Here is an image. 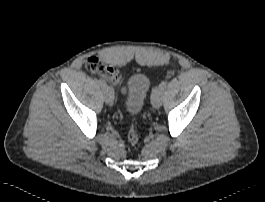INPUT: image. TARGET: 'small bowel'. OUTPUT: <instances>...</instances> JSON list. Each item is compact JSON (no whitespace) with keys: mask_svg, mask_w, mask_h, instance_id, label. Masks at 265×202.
<instances>
[{"mask_svg":"<svg viewBox=\"0 0 265 202\" xmlns=\"http://www.w3.org/2000/svg\"><path fill=\"white\" fill-rule=\"evenodd\" d=\"M84 66L86 69L91 70L106 79H108L111 83L117 85L120 82L121 74L118 68L110 65V64H99V57L97 55H90L85 59ZM107 70H111L112 72L109 73ZM125 88L122 87V90Z\"/></svg>","mask_w":265,"mask_h":202,"instance_id":"small-bowel-1","label":"small bowel"}]
</instances>
